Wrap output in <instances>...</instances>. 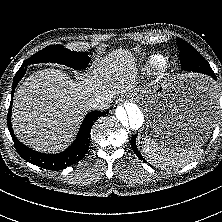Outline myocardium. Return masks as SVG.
Returning <instances> with one entry per match:
<instances>
[{
	"instance_id": "myocardium-1",
	"label": "myocardium",
	"mask_w": 222,
	"mask_h": 222,
	"mask_svg": "<svg viewBox=\"0 0 222 222\" xmlns=\"http://www.w3.org/2000/svg\"><path fill=\"white\" fill-rule=\"evenodd\" d=\"M169 62L168 61H164V63L161 65L160 70L161 71H167L169 69Z\"/></svg>"
}]
</instances>
